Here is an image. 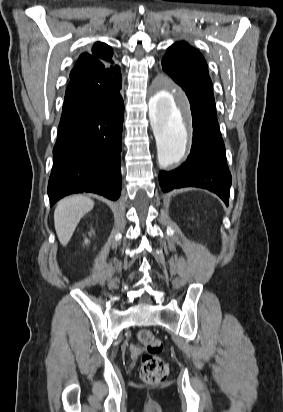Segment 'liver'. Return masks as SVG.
<instances>
[{
	"label": "liver",
	"mask_w": 283,
	"mask_h": 412,
	"mask_svg": "<svg viewBox=\"0 0 283 412\" xmlns=\"http://www.w3.org/2000/svg\"><path fill=\"white\" fill-rule=\"evenodd\" d=\"M93 207L92 199L80 195L67 197L58 203L54 212V225L63 246L70 241L81 218Z\"/></svg>",
	"instance_id": "6515ba94"
}]
</instances>
